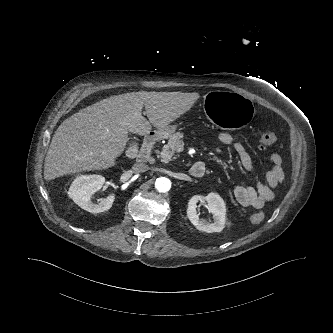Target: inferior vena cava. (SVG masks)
Here are the masks:
<instances>
[{
    "instance_id": "obj_1",
    "label": "inferior vena cava",
    "mask_w": 333,
    "mask_h": 333,
    "mask_svg": "<svg viewBox=\"0 0 333 333\" xmlns=\"http://www.w3.org/2000/svg\"><path fill=\"white\" fill-rule=\"evenodd\" d=\"M149 169L148 165L144 164V163H135L132 166V170L134 173H142L145 172Z\"/></svg>"
}]
</instances>
